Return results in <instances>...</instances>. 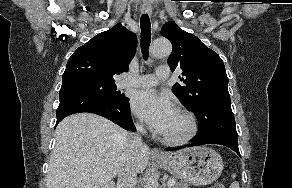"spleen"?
Listing matches in <instances>:
<instances>
[{
	"label": "spleen",
	"mask_w": 292,
	"mask_h": 188,
	"mask_svg": "<svg viewBox=\"0 0 292 188\" xmlns=\"http://www.w3.org/2000/svg\"><path fill=\"white\" fill-rule=\"evenodd\" d=\"M235 177H236V175L233 174L232 178L235 179ZM230 188H240L239 187V183L237 181L232 182L231 185H230Z\"/></svg>",
	"instance_id": "1"
}]
</instances>
